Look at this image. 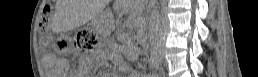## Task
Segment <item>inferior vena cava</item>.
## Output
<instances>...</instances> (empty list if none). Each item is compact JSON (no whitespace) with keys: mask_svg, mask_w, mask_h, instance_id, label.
Listing matches in <instances>:
<instances>
[{"mask_svg":"<svg viewBox=\"0 0 258 77\" xmlns=\"http://www.w3.org/2000/svg\"><path fill=\"white\" fill-rule=\"evenodd\" d=\"M159 17V12L155 9L152 11L151 18L153 20L157 19Z\"/></svg>","mask_w":258,"mask_h":77,"instance_id":"602c4592","label":"inferior vena cava"}]
</instances>
